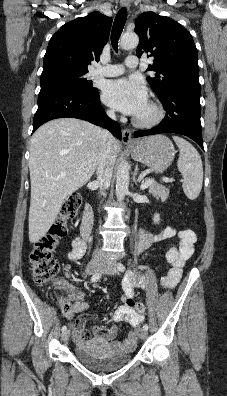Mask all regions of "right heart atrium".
Wrapping results in <instances>:
<instances>
[{"label":"right heart atrium","mask_w":227,"mask_h":396,"mask_svg":"<svg viewBox=\"0 0 227 396\" xmlns=\"http://www.w3.org/2000/svg\"><path fill=\"white\" fill-rule=\"evenodd\" d=\"M107 114L110 115V116H112V115H113V112H112L111 110H108V111H107Z\"/></svg>","instance_id":"obj_1"}]
</instances>
